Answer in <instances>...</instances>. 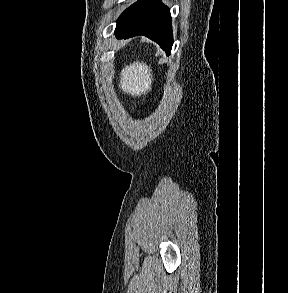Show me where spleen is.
<instances>
[{"mask_svg":"<svg viewBox=\"0 0 288 293\" xmlns=\"http://www.w3.org/2000/svg\"><path fill=\"white\" fill-rule=\"evenodd\" d=\"M152 70L144 62L136 61L121 71L120 88L132 96H140L151 90Z\"/></svg>","mask_w":288,"mask_h":293,"instance_id":"1","label":"spleen"}]
</instances>
